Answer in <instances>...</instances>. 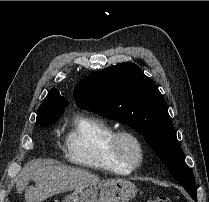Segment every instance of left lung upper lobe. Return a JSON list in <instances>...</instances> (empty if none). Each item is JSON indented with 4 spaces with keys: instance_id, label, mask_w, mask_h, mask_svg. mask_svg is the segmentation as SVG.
I'll return each instance as SVG.
<instances>
[{
    "instance_id": "1",
    "label": "left lung upper lobe",
    "mask_w": 209,
    "mask_h": 202,
    "mask_svg": "<svg viewBox=\"0 0 209 202\" xmlns=\"http://www.w3.org/2000/svg\"><path fill=\"white\" fill-rule=\"evenodd\" d=\"M81 109L135 129L191 197L196 183L186 165L166 101L152 79L134 63L123 62L95 72L74 88Z\"/></svg>"
}]
</instances>
